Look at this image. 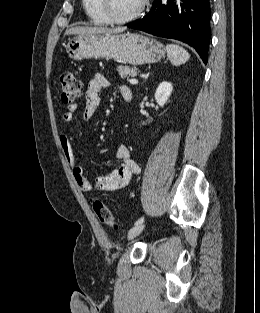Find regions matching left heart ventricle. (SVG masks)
Returning a JSON list of instances; mask_svg holds the SVG:
<instances>
[{
  "label": "left heart ventricle",
  "mask_w": 260,
  "mask_h": 313,
  "mask_svg": "<svg viewBox=\"0 0 260 313\" xmlns=\"http://www.w3.org/2000/svg\"><path fill=\"white\" fill-rule=\"evenodd\" d=\"M112 11L118 17H125L133 13L142 0H111Z\"/></svg>",
  "instance_id": "b2bd125f"
}]
</instances>
